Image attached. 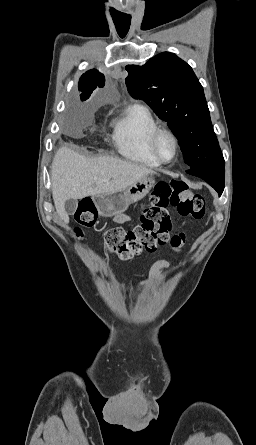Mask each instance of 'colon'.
<instances>
[{"label":"colon","mask_w":256,"mask_h":445,"mask_svg":"<svg viewBox=\"0 0 256 445\" xmlns=\"http://www.w3.org/2000/svg\"><path fill=\"white\" fill-rule=\"evenodd\" d=\"M176 208L182 216L201 219L205 214L202 195L188 190L179 180L159 182L149 196V204L142 211L139 223L130 229L112 228L106 231L104 241L107 249L122 260H128L142 252H153L170 240L171 216L169 208ZM78 226L75 234L84 237L83 229L97 223L94 204L83 200L75 212Z\"/></svg>","instance_id":"obj_1"}]
</instances>
